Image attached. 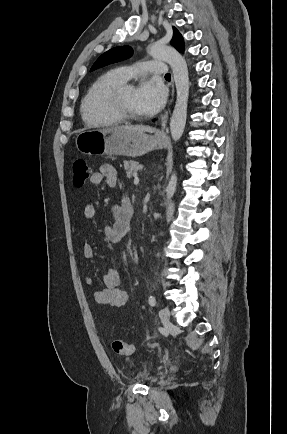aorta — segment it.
<instances>
[{"label": "aorta", "instance_id": "obj_1", "mask_svg": "<svg viewBox=\"0 0 287 434\" xmlns=\"http://www.w3.org/2000/svg\"><path fill=\"white\" fill-rule=\"evenodd\" d=\"M148 53L154 57L166 61L172 68L176 85L177 98L170 119V132L172 139L178 141L185 128L187 117V103L189 97V75L185 59L174 48L161 43H153L149 46ZM177 187V175L172 173L166 188L167 199L173 197Z\"/></svg>", "mask_w": 287, "mask_h": 434}]
</instances>
